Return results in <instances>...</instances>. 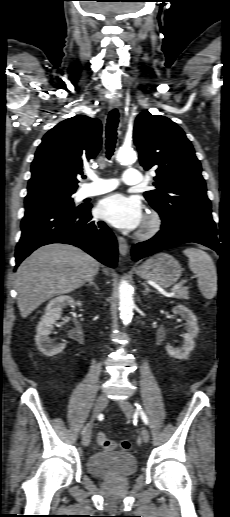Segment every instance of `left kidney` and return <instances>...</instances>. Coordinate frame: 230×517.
Listing matches in <instances>:
<instances>
[{"label":"left kidney","mask_w":230,"mask_h":517,"mask_svg":"<svg viewBox=\"0 0 230 517\" xmlns=\"http://www.w3.org/2000/svg\"><path fill=\"white\" fill-rule=\"evenodd\" d=\"M174 314H179L186 320V333L183 335L184 342L181 348H174L170 345L166 346L167 352L176 359H187L190 352L193 350L195 343L194 338L197 336L199 328L197 318L187 307L178 305L173 308Z\"/></svg>","instance_id":"1"}]
</instances>
